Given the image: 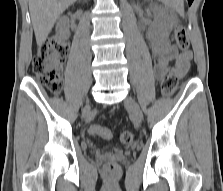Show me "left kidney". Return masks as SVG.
<instances>
[{
    "label": "left kidney",
    "mask_w": 223,
    "mask_h": 191,
    "mask_svg": "<svg viewBox=\"0 0 223 191\" xmlns=\"http://www.w3.org/2000/svg\"><path fill=\"white\" fill-rule=\"evenodd\" d=\"M154 25L149 30V35L154 38L168 37L175 23L174 16L167 10L155 7Z\"/></svg>",
    "instance_id": "left-kidney-1"
}]
</instances>
